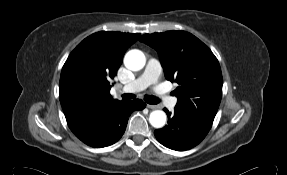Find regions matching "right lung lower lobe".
Returning <instances> with one entry per match:
<instances>
[{
  "instance_id": "98d812e1",
  "label": "right lung lower lobe",
  "mask_w": 287,
  "mask_h": 175,
  "mask_svg": "<svg viewBox=\"0 0 287 175\" xmlns=\"http://www.w3.org/2000/svg\"><path fill=\"white\" fill-rule=\"evenodd\" d=\"M145 106L146 104L140 99L121 101L110 107L93 123L73 133L82 142L91 147L101 148L110 146L117 142L124 134L128 116L134 110H142Z\"/></svg>"
}]
</instances>
